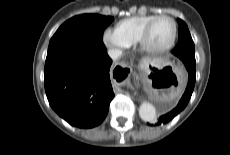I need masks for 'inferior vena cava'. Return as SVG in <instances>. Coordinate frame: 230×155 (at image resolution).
<instances>
[{
	"label": "inferior vena cava",
	"instance_id": "obj_1",
	"mask_svg": "<svg viewBox=\"0 0 230 155\" xmlns=\"http://www.w3.org/2000/svg\"><path fill=\"white\" fill-rule=\"evenodd\" d=\"M108 55L111 59L116 60L122 55V50L120 49H109L108 50Z\"/></svg>",
	"mask_w": 230,
	"mask_h": 155
}]
</instances>
